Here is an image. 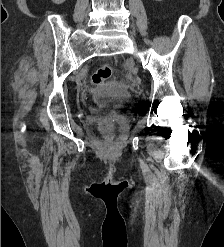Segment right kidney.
Listing matches in <instances>:
<instances>
[{"label": "right kidney", "instance_id": "right-kidney-1", "mask_svg": "<svg viewBox=\"0 0 224 247\" xmlns=\"http://www.w3.org/2000/svg\"><path fill=\"white\" fill-rule=\"evenodd\" d=\"M53 4H63L65 0H52Z\"/></svg>", "mask_w": 224, "mask_h": 247}]
</instances>
